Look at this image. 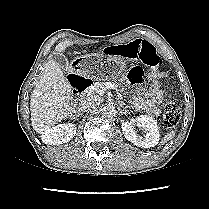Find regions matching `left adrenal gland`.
<instances>
[{
    "label": "left adrenal gland",
    "instance_id": "obj_1",
    "mask_svg": "<svg viewBox=\"0 0 209 209\" xmlns=\"http://www.w3.org/2000/svg\"><path fill=\"white\" fill-rule=\"evenodd\" d=\"M124 105H125V104H124L123 102L120 103V106H124ZM126 107H128V106H126Z\"/></svg>",
    "mask_w": 209,
    "mask_h": 209
}]
</instances>
